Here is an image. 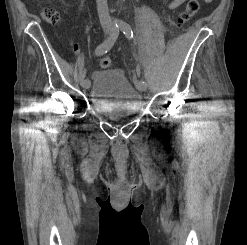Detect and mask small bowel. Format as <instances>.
<instances>
[{"label": "small bowel", "mask_w": 247, "mask_h": 245, "mask_svg": "<svg viewBox=\"0 0 247 245\" xmlns=\"http://www.w3.org/2000/svg\"><path fill=\"white\" fill-rule=\"evenodd\" d=\"M184 1H185V0H171V1L169 2L168 7H169V9H171V10L177 9ZM205 1H206V2H211L212 0H205ZM88 29H89V27L86 28V30H88ZM75 51L78 52V47H77V46H75Z\"/></svg>", "instance_id": "obj_1"}]
</instances>
